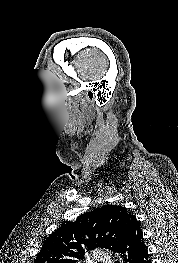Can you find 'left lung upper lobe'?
<instances>
[{
    "label": "left lung upper lobe",
    "mask_w": 178,
    "mask_h": 263,
    "mask_svg": "<svg viewBox=\"0 0 178 263\" xmlns=\"http://www.w3.org/2000/svg\"><path fill=\"white\" fill-rule=\"evenodd\" d=\"M133 215L122 206L106 205L67 222L44 242L34 263H76L95 247L113 252Z\"/></svg>",
    "instance_id": "obj_1"
}]
</instances>
